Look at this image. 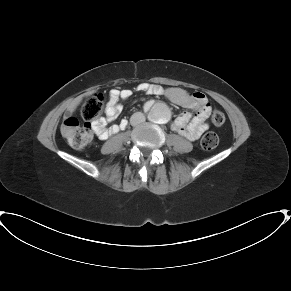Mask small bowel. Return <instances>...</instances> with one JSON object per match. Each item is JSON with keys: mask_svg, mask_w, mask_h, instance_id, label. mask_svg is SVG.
Instances as JSON below:
<instances>
[{"mask_svg": "<svg viewBox=\"0 0 291 291\" xmlns=\"http://www.w3.org/2000/svg\"><path fill=\"white\" fill-rule=\"evenodd\" d=\"M137 90L145 92L149 95L164 96L171 102L189 109H198L196 113L184 111L180 113L171 123V128L189 140L199 139L209 128L207 121L210 106L206 97L201 92L194 94L187 93L180 87L163 88L152 83H140ZM132 95L129 89H112L108 96L106 105V119L108 121L114 119L122 110L119 100L128 99ZM127 125L126 120H121L118 124L107 127L105 122L100 121L94 124V132L98 139L105 140L109 136L123 130Z\"/></svg>", "mask_w": 291, "mask_h": 291, "instance_id": "c3829d8e", "label": "small bowel"}]
</instances>
